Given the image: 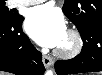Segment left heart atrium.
Wrapping results in <instances>:
<instances>
[{
    "instance_id": "1",
    "label": "left heart atrium",
    "mask_w": 102,
    "mask_h": 75,
    "mask_svg": "<svg viewBox=\"0 0 102 75\" xmlns=\"http://www.w3.org/2000/svg\"><path fill=\"white\" fill-rule=\"evenodd\" d=\"M25 28L37 44L47 48L59 47L66 36L62 15L49 4L30 9Z\"/></svg>"
}]
</instances>
